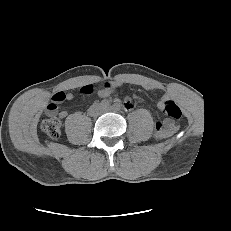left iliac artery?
Segmentation results:
<instances>
[{
    "label": "left iliac artery",
    "instance_id": "left-iliac-artery-1",
    "mask_svg": "<svg viewBox=\"0 0 231 231\" xmlns=\"http://www.w3.org/2000/svg\"><path fill=\"white\" fill-rule=\"evenodd\" d=\"M114 106L116 107V108H119V104L118 103H116V104H114Z\"/></svg>",
    "mask_w": 231,
    "mask_h": 231
}]
</instances>
